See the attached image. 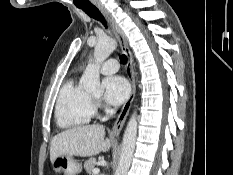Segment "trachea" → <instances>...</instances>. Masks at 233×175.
Masks as SVG:
<instances>
[{
    "label": "trachea",
    "instance_id": "1",
    "mask_svg": "<svg viewBox=\"0 0 233 175\" xmlns=\"http://www.w3.org/2000/svg\"><path fill=\"white\" fill-rule=\"evenodd\" d=\"M79 9H82L87 15L90 17L100 21L105 27H107L106 20L103 17V15L100 13V11L91 3L88 4H82V5H76ZM120 61L123 64H126L127 62V57L126 55H122L120 57Z\"/></svg>",
    "mask_w": 233,
    "mask_h": 175
}]
</instances>
